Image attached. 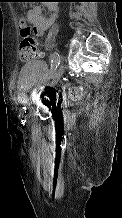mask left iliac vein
Wrapping results in <instances>:
<instances>
[{
  "label": "left iliac vein",
  "instance_id": "obj_1",
  "mask_svg": "<svg viewBox=\"0 0 122 218\" xmlns=\"http://www.w3.org/2000/svg\"><path fill=\"white\" fill-rule=\"evenodd\" d=\"M65 71V66L62 64L59 66V68L57 69V71L55 72L52 81L50 83L51 87H54L57 85V83L60 81L62 75L64 74ZM29 114H31V111L29 112Z\"/></svg>",
  "mask_w": 122,
  "mask_h": 218
}]
</instances>
